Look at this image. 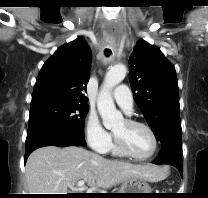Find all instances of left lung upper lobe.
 <instances>
[{
	"label": "left lung upper lobe",
	"mask_w": 208,
	"mask_h": 198,
	"mask_svg": "<svg viewBox=\"0 0 208 198\" xmlns=\"http://www.w3.org/2000/svg\"><path fill=\"white\" fill-rule=\"evenodd\" d=\"M130 84L142 111L162 149L182 154L179 90L174 66L160 49L139 41L129 58Z\"/></svg>",
	"instance_id": "5c2ea615"
}]
</instances>
